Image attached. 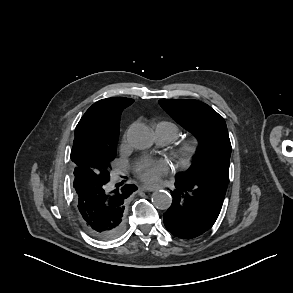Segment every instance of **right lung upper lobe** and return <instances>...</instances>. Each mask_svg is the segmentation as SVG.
Instances as JSON below:
<instances>
[{"label":"right lung upper lobe","mask_w":293,"mask_h":293,"mask_svg":"<svg viewBox=\"0 0 293 293\" xmlns=\"http://www.w3.org/2000/svg\"><path fill=\"white\" fill-rule=\"evenodd\" d=\"M133 99L113 97L93 104L75 129L71 159L76 168L97 170L92 159L102 153L116 150L120 115Z\"/></svg>","instance_id":"right-lung-upper-lobe-1"}]
</instances>
